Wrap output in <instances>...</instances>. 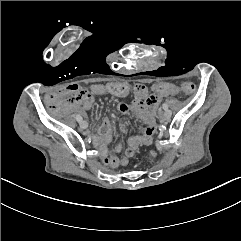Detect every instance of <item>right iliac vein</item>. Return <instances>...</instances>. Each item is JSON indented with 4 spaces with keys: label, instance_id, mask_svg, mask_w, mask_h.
Here are the masks:
<instances>
[{
    "label": "right iliac vein",
    "instance_id": "right-iliac-vein-1",
    "mask_svg": "<svg viewBox=\"0 0 241 241\" xmlns=\"http://www.w3.org/2000/svg\"><path fill=\"white\" fill-rule=\"evenodd\" d=\"M80 127L83 128V129H86V128L88 127L87 122L82 120V121L80 122Z\"/></svg>",
    "mask_w": 241,
    "mask_h": 241
}]
</instances>
